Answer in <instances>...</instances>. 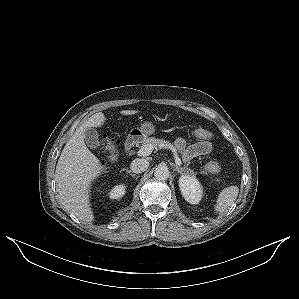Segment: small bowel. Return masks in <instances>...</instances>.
Segmentation results:
<instances>
[{"label":"small bowel","instance_id":"1","mask_svg":"<svg viewBox=\"0 0 299 299\" xmlns=\"http://www.w3.org/2000/svg\"><path fill=\"white\" fill-rule=\"evenodd\" d=\"M175 146L181 153L184 161H190L195 157L209 154L212 150V144L209 141H199L191 145H187L186 141L179 137L175 140Z\"/></svg>","mask_w":299,"mask_h":299}]
</instances>
